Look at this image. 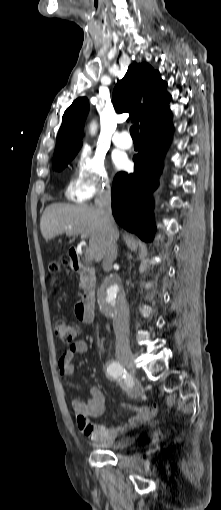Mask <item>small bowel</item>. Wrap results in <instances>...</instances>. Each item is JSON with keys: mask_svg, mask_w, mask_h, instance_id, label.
Here are the masks:
<instances>
[{"mask_svg": "<svg viewBox=\"0 0 221 510\" xmlns=\"http://www.w3.org/2000/svg\"><path fill=\"white\" fill-rule=\"evenodd\" d=\"M87 350L88 344L85 340L76 341L59 358V373L63 377H72L74 374V359L77 356L85 354ZM124 387L128 395L133 396L135 394V390L132 387H127L126 385H124ZM71 406L83 434L90 440L101 443L115 440L120 434L148 422L157 415L160 409V404L158 402L153 403L151 406L120 403L119 406L121 409L132 413L126 421L113 426L94 424L90 421V418L97 417L104 411V396L101 390L96 386L89 388L87 401L73 399L71 401Z\"/></svg>", "mask_w": 221, "mask_h": 510, "instance_id": "small-bowel-1", "label": "small bowel"}]
</instances>
